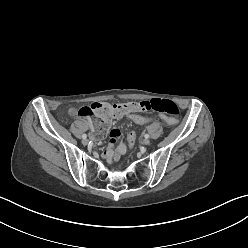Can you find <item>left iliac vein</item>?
<instances>
[{
  "label": "left iliac vein",
  "mask_w": 248,
  "mask_h": 248,
  "mask_svg": "<svg viewBox=\"0 0 248 248\" xmlns=\"http://www.w3.org/2000/svg\"><path fill=\"white\" fill-rule=\"evenodd\" d=\"M142 143H143L144 145H149V144H150V140H149L148 138H145V139L142 141Z\"/></svg>",
  "instance_id": "obj_1"
}]
</instances>
